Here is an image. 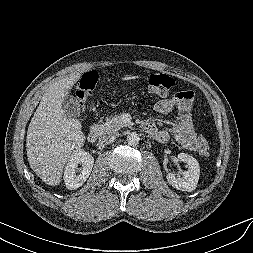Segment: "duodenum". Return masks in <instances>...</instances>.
<instances>
[{
    "instance_id": "obj_1",
    "label": "duodenum",
    "mask_w": 253,
    "mask_h": 253,
    "mask_svg": "<svg viewBox=\"0 0 253 253\" xmlns=\"http://www.w3.org/2000/svg\"><path fill=\"white\" fill-rule=\"evenodd\" d=\"M99 134H100L99 126L96 124L92 125L88 132V140L90 142H96L99 138Z\"/></svg>"
}]
</instances>
